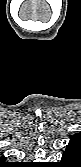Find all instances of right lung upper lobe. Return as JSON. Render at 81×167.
I'll list each match as a JSON object with an SVG mask.
<instances>
[{
    "label": "right lung upper lobe",
    "mask_w": 81,
    "mask_h": 167,
    "mask_svg": "<svg viewBox=\"0 0 81 167\" xmlns=\"http://www.w3.org/2000/svg\"><path fill=\"white\" fill-rule=\"evenodd\" d=\"M2 160L4 161L5 160V158L4 157H2ZM5 163V162H4Z\"/></svg>",
    "instance_id": "cb5924a9"
}]
</instances>
